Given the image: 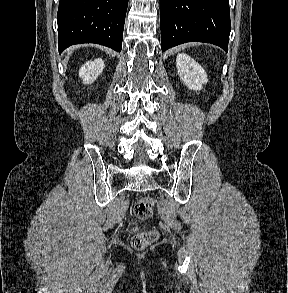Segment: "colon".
I'll use <instances>...</instances> for the list:
<instances>
[{
  "label": "colon",
  "mask_w": 288,
  "mask_h": 293,
  "mask_svg": "<svg viewBox=\"0 0 288 293\" xmlns=\"http://www.w3.org/2000/svg\"><path fill=\"white\" fill-rule=\"evenodd\" d=\"M154 209V201L151 197H143L134 205V217L136 220L148 219ZM158 237L154 230L140 231L136 227L132 229L131 244L137 250H142Z\"/></svg>",
  "instance_id": "1"
}]
</instances>
